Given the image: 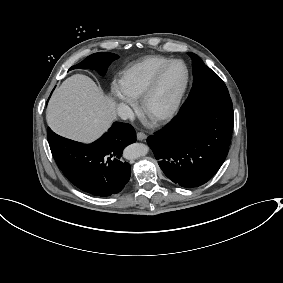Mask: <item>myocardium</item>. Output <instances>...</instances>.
I'll use <instances>...</instances> for the list:
<instances>
[{"mask_svg": "<svg viewBox=\"0 0 283 283\" xmlns=\"http://www.w3.org/2000/svg\"><path fill=\"white\" fill-rule=\"evenodd\" d=\"M174 64H182L184 69H185V81L184 84L181 88V90L179 91V93L177 94L176 98L174 99L172 105L163 113L157 114L155 116H149L147 113V107L148 104L150 102V100L152 99V97L154 96V93L156 91L158 82L160 80V78L162 77V75L168 70L169 67H171ZM190 83V70L188 65L182 61V60H171L168 63H166L165 65H163L162 67H160L151 77V79L149 80L146 89L141 97V108L142 111L145 115L151 117L154 121L156 122H161V121H165V120H169L171 119L179 110L180 106H181V102L183 100V97L188 89Z\"/></svg>", "mask_w": 283, "mask_h": 283, "instance_id": "obj_1", "label": "myocardium"}]
</instances>
